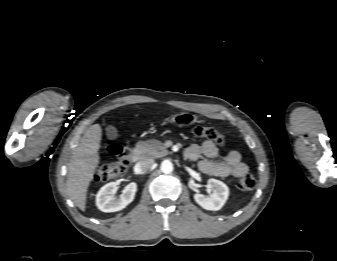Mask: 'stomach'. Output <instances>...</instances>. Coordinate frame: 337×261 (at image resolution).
Masks as SVG:
<instances>
[{"label":"stomach","instance_id":"1","mask_svg":"<svg viewBox=\"0 0 337 261\" xmlns=\"http://www.w3.org/2000/svg\"><path fill=\"white\" fill-rule=\"evenodd\" d=\"M198 119V116L192 113L182 112L172 115L165 123H171L178 127H184L198 122Z\"/></svg>","mask_w":337,"mask_h":261}]
</instances>
